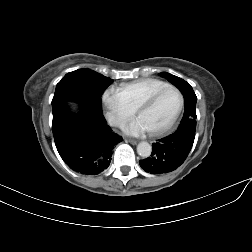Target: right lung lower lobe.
I'll return each instance as SVG.
<instances>
[{"instance_id": "obj_1", "label": "right lung lower lobe", "mask_w": 252, "mask_h": 252, "mask_svg": "<svg viewBox=\"0 0 252 252\" xmlns=\"http://www.w3.org/2000/svg\"><path fill=\"white\" fill-rule=\"evenodd\" d=\"M52 131L63 161L74 171L97 175L111 161L114 147L123 139L107 125L102 111L80 106L78 113L64 104L53 109Z\"/></svg>"}]
</instances>
